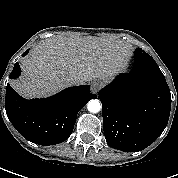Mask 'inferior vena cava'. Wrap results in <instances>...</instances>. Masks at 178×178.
<instances>
[{
	"label": "inferior vena cava",
	"instance_id": "inferior-vena-cava-1",
	"mask_svg": "<svg viewBox=\"0 0 178 178\" xmlns=\"http://www.w3.org/2000/svg\"><path fill=\"white\" fill-rule=\"evenodd\" d=\"M68 80H69L70 83L73 84V85H78V84H80L79 78H77V77H75V76L69 77Z\"/></svg>",
	"mask_w": 178,
	"mask_h": 178
}]
</instances>
